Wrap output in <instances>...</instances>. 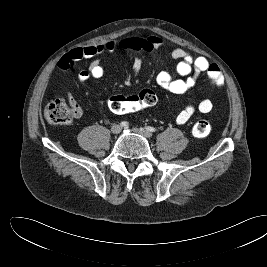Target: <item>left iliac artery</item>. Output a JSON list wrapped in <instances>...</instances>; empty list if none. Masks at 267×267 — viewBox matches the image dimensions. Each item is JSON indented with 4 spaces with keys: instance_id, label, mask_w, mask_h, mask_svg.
<instances>
[{
    "instance_id": "left-iliac-artery-1",
    "label": "left iliac artery",
    "mask_w": 267,
    "mask_h": 267,
    "mask_svg": "<svg viewBox=\"0 0 267 267\" xmlns=\"http://www.w3.org/2000/svg\"><path fill=\"white\" fill-rule=\"evenodd\" d=\"M146 130L150 131V132H155L156 131V129L154 127H151V126H147Z\"/></svg>"
}]
</instances>
